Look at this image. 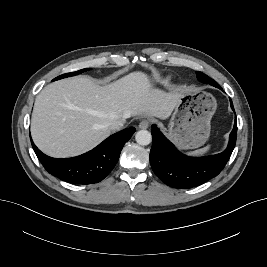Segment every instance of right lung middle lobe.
I'll use <instances>...</instances> for the list:
<instances>
[{
  "label": "right lung middle lobe",
  "mask_w": 267,
  "mask_h": 267,
  "mask_svg": "<svg viewBox=\"0 0 267 267\" xmlns=\"http://www.w3.org/2000/svg\"><path fill=\"white\" fill-rule=\"evenodd\" d=\"M88 69L85 68V69H82V70H79V71H76V72H71V73H66V74H63V75H60L58 77H56L55 79H53V81L55 80H58V79H62V78H66V77H70V76H74V75H78L84 71H87Z\"/></svg>",
  "instance_id": "dd1d6c3e"
}]
</instances>
